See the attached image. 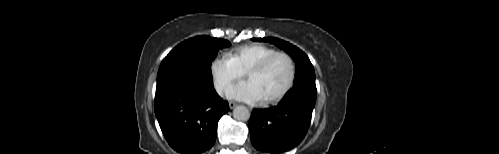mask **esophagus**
I'll return each mask as SVG.
<instances>
[{"label": "esophagus", "mask_w": 499, "mask_h": 154, "mask_svg": "<svg viewBox=\"0 0 499 154\" xmlns=\"http://www.w3.org/2000/svg\"><path fill=\"white\" fill-rule=\"evenodd\" d=\"M236 106H237V103H235V102H233V101L229 102V107H230V109H233V108H235Z\"/></svg>", "instance_id": "obj_1"}]
</instances>
